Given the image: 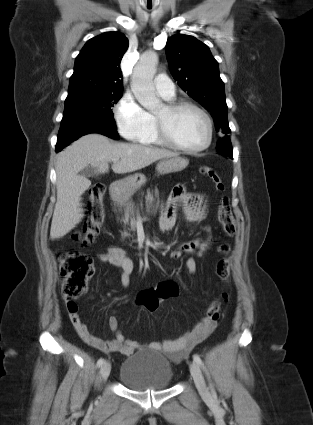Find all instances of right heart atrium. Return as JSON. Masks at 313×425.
Listing matches in <instances>:
<instances>
[{
  "mask_svg": "<svg viewBox=\"0 0 313 425\" xmlns=\"http://www.w3.org/2000/svg\"><path fill=\"white\" fill-rule=\"evenodd\" d=\"M114 117L120 134L131 141H140L153 127L152 116L130 94L121 97Z\"/></svg>",
  "mask_w": 313,
  "mask_h": 425,
  "instance_id": "1",
  "label": "right heart atrium"
}]
</instances>
